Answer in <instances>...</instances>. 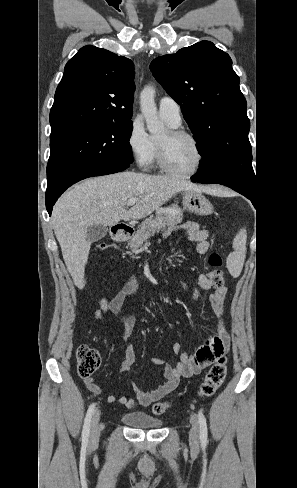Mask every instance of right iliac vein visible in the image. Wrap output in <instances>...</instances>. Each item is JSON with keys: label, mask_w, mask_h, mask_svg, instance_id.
Listing matches in <instances>:
<instances>
[{"label": "right iliac vein", "mask_w": 297, "mask_h": 488, "mask_svg": "<svg viewBox=\"0 0 297 488\" xmlns=\"http://www.w3.org/2000/svg\"><path fill=\"white\" fill-rule=\"evenodd\" d=\"M100 411H97L94 415L91 423V430H90V445L95 446L98 443L99 436H100Z\"/></svg>", "instance_id": "1"}]
</instances>
